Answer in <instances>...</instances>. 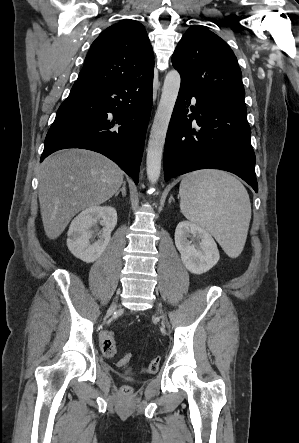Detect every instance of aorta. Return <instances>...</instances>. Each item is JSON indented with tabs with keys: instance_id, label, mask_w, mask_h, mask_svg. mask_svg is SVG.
Segmentation results:
<instances>
[{
	"instance_id": "762f6f07",
	"label": "aorta",
	"mask_w": 299,
	"mask_h": 443,
	"mask_svg": "<svg viewBox=\"0 0 299 443\" xmlns=\"http://www.w3.org/2000/svg\"><path fill=\"white\" fill-rule=\"evenodd\" d=\"M180 83V75L176 70L167 73L148 141L146 170L151 184H155L160 177L165 138Z\"/></svg>"
}]
</instances>
